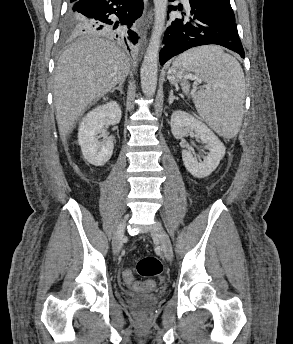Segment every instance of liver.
Segmentation results:
<instances>
[{
	"instance_id": "obj_1",
	"label": "liver",
	"mask_w": 293,
	"mask_h": 344,
	"mask_svg": "<svg viewBox=\"0 0 293 344\" xmlns=\"http://www.w3.org/2000/svg\"><path fill=\"white\" fill-rule=\"evenodd\" d=\"M129 72V58L105 39H82L62 53L54 77V102L63 141L92 102L124 82Z\"/></svg>"
}]
</instances>
